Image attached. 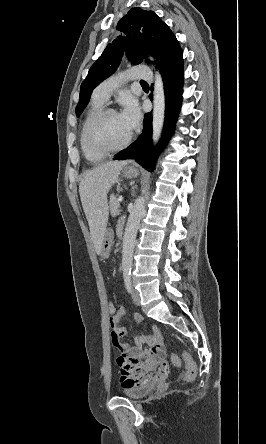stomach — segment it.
Listing matches in <instances>:
<instances>
[{
  "label": "stomach",
  "instance_id": "0dacf381",
  "mask_svg": "<svg viewBox=\"0 0 266 444\" xmlns=\"http://www.w3.org/2000/svg\"><path fill=\"white\" fill-rule=\"evenodd\" d=\"M122 174L125 178L128 179L135 178L138 175V169L134 166H125L122 171ZM112 243H113V233L110 229H106L101 249V254L103 256L109 255Z\"/></svg>",
  "mask_w": 266,
  "mask_h": 444
}]
</instances>
